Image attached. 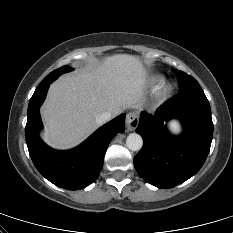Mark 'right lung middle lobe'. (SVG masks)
Wrapping results in <instances>:
<instances>
[{
    "label": "right lung middle lobe",
    "mask_w": 233,
    "mask_h": 233,
    "mask_svg": "<svg viewBox=\"0 0 233 233\" xmlns=\"http://www.w3.org/2000/svg\"><path fill=\"white\" fill-rule=\"evenodd\" d=\"M72 68L68 67V66H63L59 69H56L54 71H52L49 75H47L42 82L39 84V87L45 86L47 84L52 83L54 80H56L61 74L65 73V72H69L71 71Z\"/></svg>",
    "instance_id": "right-lung-middle-lobe-1"
}]
</instances>
